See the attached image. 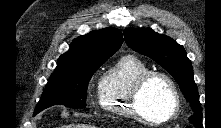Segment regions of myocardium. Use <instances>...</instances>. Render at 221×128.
Segmentation results:
<instances>
[{
	"label": "myocardium",
	"instance_id": "myocardium-1",
	"mask_svg": "<svg viewBox=\"0 0 221 128\" xmlns=\"http://www.w3.org/2000/svg\"><path fill=\"white\" fill-rule=\"evenodd\" d=\"M153 78L163 79L167 83L170 93H171L172 108L170 112L162 119H153L149 117L141 109L140 103H139L141 91L143 90L145 85ZM129 102H130V108L133 114L137 118L147 123L155 124V125H163L172 121L177 116L179 109H180V97H179L178 89L176 87L175 82L166 73H163L160 71H154V70L146 72L135 82L133 89L129 96Z\"/></svg>",
	"mask_w": 221,
	"mask_h": 128
}]
</instances>
